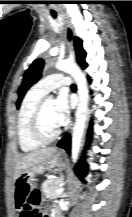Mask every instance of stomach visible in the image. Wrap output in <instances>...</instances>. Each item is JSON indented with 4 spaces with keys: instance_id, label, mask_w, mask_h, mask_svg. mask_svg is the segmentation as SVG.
I'll return each instance as SVG.
<instances>
[{
    "instance_id": "0dacf381",
    "label": "stomach",
    "mask_w": 132,
    "mask_h": 217,
    "mask_svg": "<svg viewBox=\"0 0 132 217\" xmlns=\"http://www.w3.org/2000/svg\"><path fill=\"white\" fill-rule=\"evenodd\" d=\"M66 167L65 156L56 153L51 159L45 163L32 166L31 168L24 170L20 176L15 180V188L29 187L34 188V179L37 174H43L45 171L60 172Z\"/></svg>"
}]
</instances>
